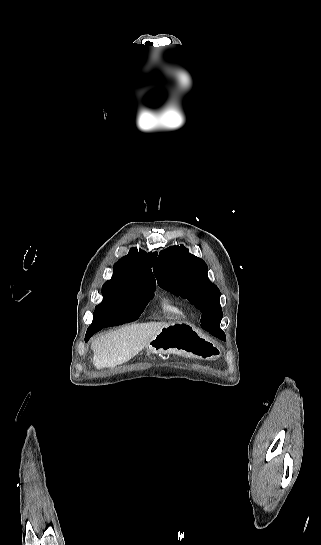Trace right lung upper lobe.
I'll return each mask as SVG.
<instances>
[{
  "mask_svg": "<svg viewBox=\"0 0 321 545\" xmlns=\"http://www.w3.org/2000/svg\"><path fill=\"white\" fill-rule=\"evenodd\" d=\"M156 258L155 254H146L131 249L127 256L114 265L113 277L104 285L126 289L155 288L156 281L151 267Z\"/></svg>",
  "mask_w": 321,
  "mask_h": 545,
  "instance_id": "1",
  "label": "right lung upper lobe"
}]
</instances>
